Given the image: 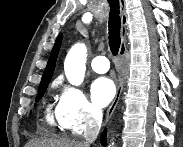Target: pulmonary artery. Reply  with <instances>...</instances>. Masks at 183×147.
Here are the masks:
<instances>
[{"label": "pulmonary artery", "instance_id": "obj_1", "mask_svg": "<svg viewBox=\"0 0 183 147\" xmlns=\"http://www.w3.org/2000/svg\"><path fill=\"white\" fill-rule=\"evenodd\" d=\"M91 67L97 73H106L110 64L105 56H97L92 60Z\"/></svg>", "mask_w": 183, "mask_h": 147}]
</instances>
